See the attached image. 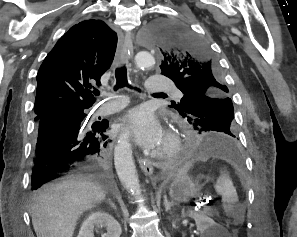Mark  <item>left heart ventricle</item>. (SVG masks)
<instances>
[{"label": "left heart ventricle", "mask_w": 297, "mask_h": 237, "mask_svg": "<svg viewBox=\"0 0 297 237\" xmlns=\"http://www.w3.org/2000/svg\"><path fill=\"white\" fill-rule=\"evenodd\" d=\"M164 143V137L161 139L159 145H158V149L161 148L163 146Z\"/></svg>", "instance_id": "b2bd125f"}]
</instances>
